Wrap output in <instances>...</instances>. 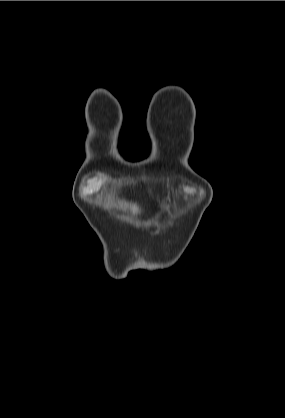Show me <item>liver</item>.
<instances>
[{"label":"liver","mask_w":285,"mask_h":418,"mask_svg":"<svg viewBox=\"0 0 285 418\" xmlns=\"http://www.w3.org/2000/svg\"><path fill=\"white\" fill-rule=\"evenodd\" d=\"M120 206H121V208H124V209H126L128 207V205L126 203L124 205H123V203H121ZM130 209H131V211H132L133 214H135V213H137L139 211V209H138V207L136 205L130 206Z\"/></svg>","instance_id":"6515ba94"}]
</instances>
